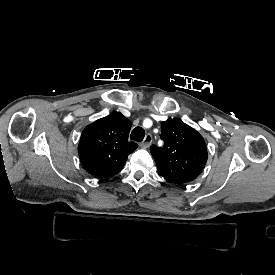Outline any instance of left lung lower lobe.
I'll use <instances>...</instances> for the list:
<instances>
[{
	"instance_id": "left-lung-lower-lobe-1",
	"label": "left lung lower lobe",
	"mask_w": 275,
	"mask_h": 275,
	"mask_svg": "<svg viewBox=\"0 0 275 275\" xmlns=\"http://www.w3.org/2000/svg\"><path fill=\"white\" fill-rule=\"evenodd\" d=\"M159 175H161V174H159ZM165 178V177H164ZM166 179V181H168V179L167 178H165ZM169 182V181H168Z\"/></svg>"
}]
</instances>
